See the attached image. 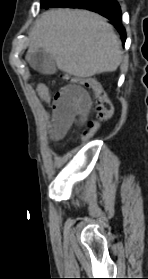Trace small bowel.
<instances>
[{"instance_id":"c3829d8e","label":"small bowel","mask_w":148,"mask_h":279,"mask_svg":"<svg viewBox=\"0 0 148 279\" xmlns=\"http://www.w3.org/2000/svg\"><path fill=\"white\" fill-rule=\"evenodd\" d=\"M49 136L52 140L62 139L72 125L86 115L91 106L88 93L80 86L68 84L54 95Z\"/></svg>"}]
</instances>
